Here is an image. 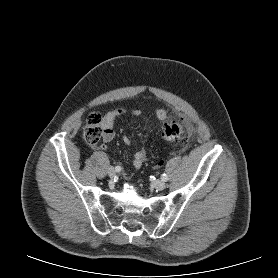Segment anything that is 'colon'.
Segmentation results:
<instances>
[{
	"label": "colon",
	"instance_id": "1",
	"mask_svg": "<svg viewBox=\"0 0 278 278\" xmlns=\"http://www.w3.org/2000/svg\"><path fill=\"white\" fill-rule=\"evenodd\" d=\"M102 120L103 118L99 113H92L87 118L83 136L91 146H96L100 142L103 134ZM159 137L166 141L184 142L186 131L180 122H170L160 130Z\"/></svg>",
	"mask_w": 278,
	"mask_h": 278
}]
</instances>
